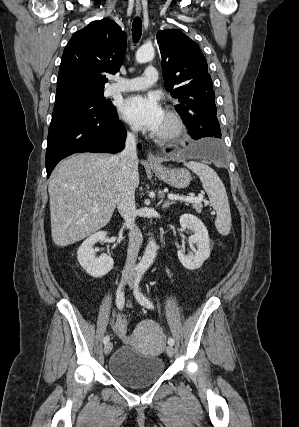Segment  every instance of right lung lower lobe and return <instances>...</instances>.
I'll list each match as a JSON object with an SVG mask.
<instances>
[{
    "label": "right lung lower lobe",
    "mask_w": 299,
    "mask_h": 427,
    "mask_svg": "<svg viewBox=\"0 0 299 427\" xmlns=\"http://www.w3.org/2000/svg\"><path fill=\"white\" fill-rule=\"evenodd\" d=\"M125 136L126 129L116 113L75 111L52 118L45 158L47 177L61 159L73 153L121 151Z\"/></svg>",
    "instance_id": "98d812e1"
}]
</instances>
